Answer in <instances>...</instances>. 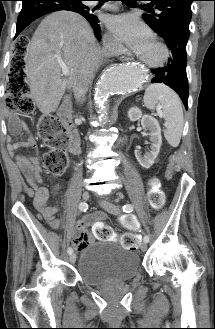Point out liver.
<instances>
[{
    "label": "liver",
    "instance_id": "liver-1",
    "mask_svg": "<svg viewBox=\"0 0 215 329\" xmlns=\"http://www.w3.org/2000/svg\"><path fill=\"white\" fill-rule=\"evenodd\" d=\"M99 48L89 23L79 14L59 11L39 24L25 55L31 95L43 114L56 111L66 88H72L87 53ZM69 69L63 77L62 67Z\"/></svg>",
    "mask_w": 215,
    "mask_h": 329
}]
</instances>
